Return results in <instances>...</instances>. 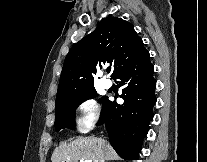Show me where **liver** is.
Instances as JSON below:
<instances>
[{"mask_svg": "<svg viewBox=\"0 0 207 162\" xmlns=\"http://www.w3.org/2000/svg\"><path fill=\"white\" fill-rule=\"evenodd\" d=\"M118 156L109 143L98 137H79L63 143L52 154V162H78V160H116Z\"/></svg>", "mask_w": 207, "mask_h": 162, "instance_id": "1", "label": "liver"}]
</instances>
